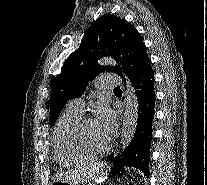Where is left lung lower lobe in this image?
I'll return each instance as SVG.
<instances>
[{"instance_id": "0a47b994", "label": "left lung lower lobe", "mask_w": 207, "mask_h": 185, "mask_svg": "<svg viewBox=\"0 0 207 185\" xmlns=\"http://www.w3.org/2000/svg\"><path fill=\"white\" fill-rule=\"evenodd\" d=\"M138 97V121L137 129L129 146L123 153L114 157L111 153L107 158L122 169L126 166L141 170L149 175L150 143L152 140V122L154 119L155 91L154 74L149 66L130 79Z\"/></svg>"}]
</instances>
